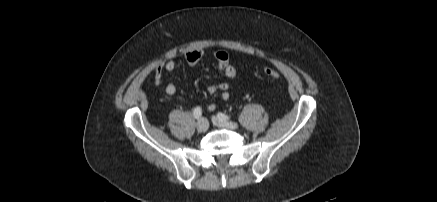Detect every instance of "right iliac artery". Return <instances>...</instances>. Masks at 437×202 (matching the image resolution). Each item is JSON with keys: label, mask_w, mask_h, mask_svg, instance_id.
<instances>
[{"label": "right iliac artery", "mask_w": 437, "mask_h": 202, "mask_svg": "<svg viewBox=\"0 0 437 202\" xmlns=\"http://www.w3.org/2000/svg\"><path fill=\"white\" fill-rule=\"evenodd\" d=\"M193 115L196 119H200L202 115V109L200 107H196L193 111Z\"/></svg>", "instance_id": "right-iliac-artery-1"}]
</instances>
